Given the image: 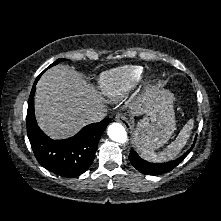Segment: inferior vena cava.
Instances as JSON below:
<instances>
[{"instance_id":"602c4592","label":"inferior vena cava","mask_w":221,"mask_h":221,"mask_svg":"<svg viewBox=\"0 0 221 221\" xmlns=\"http://www.w3.org/2000/svg\"><path fill=\"white\" fill-rule=\"evenodd\" d=\"M106 117V110L95 111L91 114L86 115L85 122L86 123H97L103 120Z\"/></svg>"}]
</instances>
